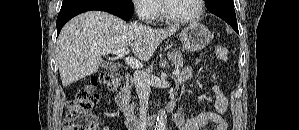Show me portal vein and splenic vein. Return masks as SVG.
Masks as SVG:
<instances>
[{
	"label": "portal vein and splenic vein",
	"mask_w": 299,
	"mask_h": 130,
	"mask_svg": "<svg viewBox=\"0 0 299 130\" xmlns=\"http://www.w3.org/2000/svg\"><path fill=\"white\" fill-rule=\"evenodd\" d=\"M99 54H115L118 57H125L128 53H129V48L125 47L122 49H118V50H98ZM125 62L127 65H129L132 68H139L142 67V64L136 60L135 58L132 57H125ZM180 73L179 68H176V70H174L173 75H178Z\"/></svg>",
	"instance_id": "portal-vein-and-splenic-vein-1"
}]
</instances>
